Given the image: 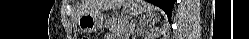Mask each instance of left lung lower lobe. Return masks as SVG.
Returning <instances> with one entry per match:
<instances>
[{
	"mask_svg": "<svg viewBox=\"0 0 249 39\" xmlns=\"http://www.w3.org/2000/svg\"><path fill=\"white\" fill-rule=\"evenodd\" d=\"M148 1L162 8L170 19L175 0H148Z\"/></svg>",
	"mask_w": 249,
	"mask_h": 39,
	"instance_id": "0a47b994",
	"label": "left lung lower lobe"
}]
</instances>
